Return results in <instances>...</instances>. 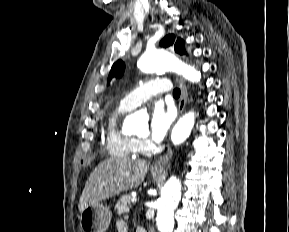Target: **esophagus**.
Wrapping results in <instances>:
<instances>
[{
    "label": "esophagus",
    "mask_w": 289,
    "mask_h": 232,
    "mask_svg": "<svg viewBox=\"0 0 289 232\" xmlns=\"http://www.w3.org/2000/svg\"><path fill=\"white\" fill-rule=\"evenodd\" d=\"M177 81L181 90V96L178 104V115H181L187 102L188 93L184 81L181 78H178ZM172 153H173L172 149L169 147L166 153L154 163L153 169L154 170L164 169L166 163L171 159Z\"/></svg>",
    "instance_id": "esophagus-1"
}]
</instances>
